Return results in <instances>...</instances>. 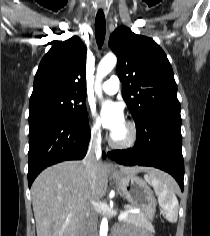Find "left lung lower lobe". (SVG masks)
Returning <instances> with one entry per match:
<instances>
[{
  "label": "left lung lower lobe",
  "instance_id": "1",
  "mask_svg": "<svg viewBox=\"0 0 210 236\" xmlns=\"http://www.w3.org/2000/svg\"><path fill=\"white\" fill-rule=\"evenodd\" d=\"M135 146L115 150L108 156L126 166H152L171 174L183 191L184 162L182 156L180 113L157 112L136 123Z\"/></svg>",
  "mask_w": 210,
  "mask_h": 236
}]
</instances>
